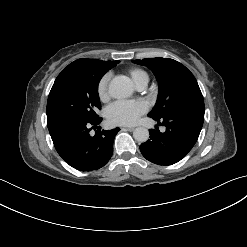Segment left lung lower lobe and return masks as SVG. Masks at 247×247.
I'll return each instance as SVG.
<instances>
[{"label":"left lung lower lobe","instance_id":"0a47b994","mask_svg":"<svg viewBox=\"0 0 247 247\" xmlns=\"http://www.w3.org/2000/svg\"><path fill=\"white\" fill-rule=\"evenodd\" d=\"M165 126L150 130V139L140 145L142 155L158 165H172L184 158L196 143L203 126L204 114L190 111L171 113L154 119Z\"/></svg>","mask_w":247,"mask_h":247}]
</instances>
